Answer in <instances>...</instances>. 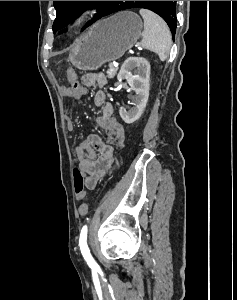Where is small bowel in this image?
<instances>
[{
  "label": "small bowel",
  "instance_id": "c3829d8e",
  "mask_svg": "<svg viewBox=\"0 0 237 300\" xmlns=\"http://www.w3.org/2000/svg\"><path fill=\"white\" fill-rule=\"evenodd\" d=\"M71 84L77 82V75L69 73ZM107 79L102 72L87 73L82 78V92H77L72 86H63L61 94L66 99H79L85 92L86 87L99 85L105 86ZM94 103L101 109V114L97 118V124L105 132V140L98 135L91 134L76 148V155L79 161V170L86 175V187L94 189L97 184L111 172L118 164L114 157V148H121L124 145L125 132L122 124L113 115V106L107 101L103 90L95 93ZM68 130L74 129V122L71 117H66ZM88 212L87 204L83 203L79 207V214L84 216Z\"/></svg>",
  "mask_w": 237,
  "mask_h": 300
}]
</instances>
